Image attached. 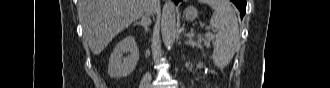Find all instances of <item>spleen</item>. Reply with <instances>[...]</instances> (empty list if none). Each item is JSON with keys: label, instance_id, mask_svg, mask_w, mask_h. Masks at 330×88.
<instances>
[{"label": "spleen", "instance_id": "obj_1", "mask_svg": "<svg viewBox=\"0 0 330 88\" xmlns=\"http://www.w3.org/2000/svg\"><path fill=\"white\" fill-rule=\"evenodd\" d=\"M213 10L210 25L218 30L217 34L207 33L212 40L214 51L213 60L216 66L224 68L234 56L238 47L239 26L235 11L229 0H203ZM201 37V35H198Z\"/></svg>", "mask_w": 330, "mask_h": 88}]
</instances>
